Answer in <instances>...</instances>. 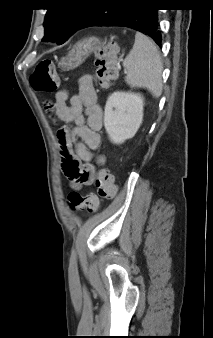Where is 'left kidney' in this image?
<instances>
[{
	"mask_svg": "<svg viewBox=\"0 0 213 338\" xmlns=\"http://www.w3.org/2000/svg\"><path fill=\"white\" fill-rule=\"evenodd\" d=\"M144 99L139 93L117 91L106 102L104 126L114 144L134 137L143 119Z\"/></svg>",
	"mask_w": 213,
	"mask_h": 338,
	"instance_id": "5707ae66",
	"label": "left kidney"
}]
</instances>
